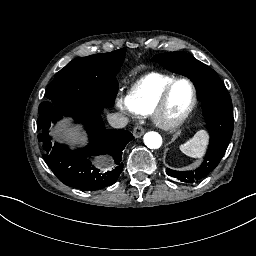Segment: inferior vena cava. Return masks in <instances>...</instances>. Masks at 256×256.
<instances>
[{"mask_svg": "<svg viewBox=\"0 0 256 256\" xmlns=\"http://www.w3.org/2000/svg\"><path fill=\"white\" fill-rule=\"evenodd\" d=\"M107 119H108L110 126H112L113 128H117V129L126 127L129 122V118L124 113L110 114V115H108Z\"/></svg>", "mask_w": 256, "mask_h": 256, "instance_id": "obj_1", "label": "inferior vena cava"}]
</instances>
